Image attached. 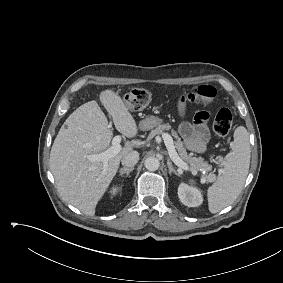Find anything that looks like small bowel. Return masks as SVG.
Instances as JSON below:
<instances>
[{
	"mask_svg": "<svg viewBox=\"0 0 283 283\" xmlns=\"http://www.w3.org/2000/svg\"><path fill=\"white\" fill-rule=\"evenodd\" d=\"M203 100L188 93L179 100V112L184 115L189 103H199ZM208 113L200 111L194 116L193 123L183 121L179 125V133L183 138L185 146L193 152L203 153L209 140Z\"/></svg>",
	"mask_w": 283,
	"mask_h": 283,
	"instance_id": "small-bowel-1",
	"label": "small bowel"
}]
</instances>
